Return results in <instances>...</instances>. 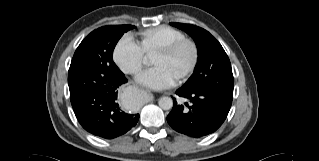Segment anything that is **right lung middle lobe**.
Segmentation results:
<instances>
[{
  "label": "right lung middle lobe",
  "instance_id": "right-lung-middle-lobe-1",
  "mask_svg": "<svg viewBox=\"0 0 319 161\" xmlns=\"http://www.w3.org/2000/svg\"><path fill=\"white\" fill-rule=\"evenodd\" d=\"M132 25L103 26L91 32L78 46L68 72L70 100L89 90L110 84L122 75L113 61V50L122 35Z\"/></svg>",
  "mask_w": 319,
  "mask_h": 161
}]
</instances>
